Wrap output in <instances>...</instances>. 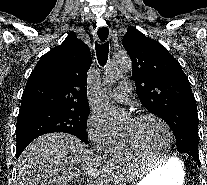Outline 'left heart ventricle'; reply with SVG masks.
<instances>
[{"instance_id":"b2bd125f","label":"left heart ventricle","mask_w":207,"mask_h":185,"mask_svg":"<svg viewBox=\"0 0 207 185\" xmlns=\"http://www.w3.org/2000/svg\"><path fill=\"white\" fill-rule=\"evenodd\" d=\"M122 132L132 139L137 148L150 154H162L169 145L164 127L155 120L136 122L131 119Z\"/></svg>"}]
</instances>
